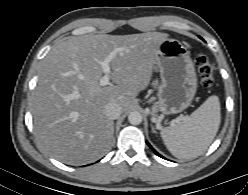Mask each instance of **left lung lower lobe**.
<instances>
[{
    "label": "left lung lower lobe",
    "instance_id": "left-lung-lower-lobe-1",
    "mask_svg": "<svg viewBox=\"0 0 248 195\" xmlns=\"http://www.w3.org/2000/svg\"><path fill=\"white\" fill-rule=\"evenodd\" d=\"M147 144H148V146H150V144L147 142ZM151 147V146H150ZM154 150V149H153ZM154 152L158 155V156H160V157H162L161 155H159L155 150H154ZM163 158V157H162Z\"/></svg>",
    "mask_w": 248,
    "mask_h": 195
}]
</instances>
